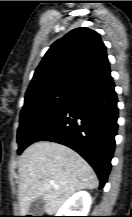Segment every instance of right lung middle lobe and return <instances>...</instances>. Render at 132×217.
<instances>
[{
	"instance_id": "right-lung-middle-lobe-1",
	"label": "right lung middle lobe",
	"mask_w": 132,
	"mask_h": 217,
	"mask_svg": "<svg viewBox=\"0 0 132 217\" xmlns=\"http://www.w3.org/2000/svg\"><path fill=\"white\" fill-rule=\"evenodd\" d=\"M75 97L76 94L61 91L25 98L17 132L18 154L36 142L73 102Z\"/></svg>"
}]
</instances>
